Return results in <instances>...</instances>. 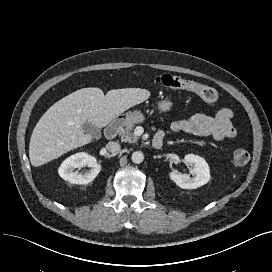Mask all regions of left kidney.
<instances>
[{
    "mask_svg": "<svg viewBox=\"0 0 272 272\" xmlns=\"http://www.w3.org/2000/svg\"><path fill=\"white\" fill-rule=\"evenodd\" d=\"M184 161L194 165V176L190 177L189 174H181L175 171L170 172L169 177L177 186L182 189H196L208 183L210 180V169L204 158L195 154H187L184 157Z\"/></svg>",
    "mask_w": 272,
    "mask_h": 272,
    "instance_id": "left-kidney-1",
    "label": "left kidney"
}]
</instances>
